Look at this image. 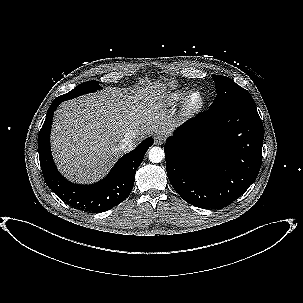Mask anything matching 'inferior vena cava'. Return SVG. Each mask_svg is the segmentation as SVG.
Returning <instances> with one entry per match:
<instances>
[{"label":"inferior vena cava","instance_id":"obj_1","mask_svg":"<svg viewBox=\"0 0 303 303\" xmlns=\"http://www.w3.org/2000/svg\"><path fill=\"white\" fill-rule=\"evenodd\" d=\"M135 138H136L135 133L133 132L127 133L124 136V138L121 140V143L119 145L120 149L123 152H129L133 150L135 147Z\"/></svg>","mask_w":303,"mask_h":303}]
</instances>
